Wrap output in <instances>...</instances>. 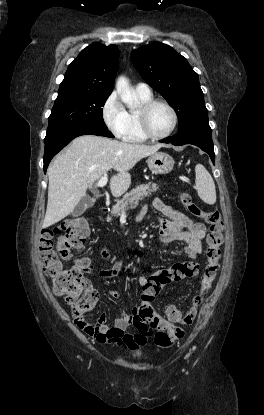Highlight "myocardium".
Here are the masks:
<instances>
[{"instance_id": "myocardium-1", "label": "myocardium", "mask_w": 264, "mask_h": 415, "mask_svg": "<svg viewBox=\"0 0 264 415\" xmlns=\"http://www.w3.org/2000/svg\"><path fill=\"white\" fill-rule=\"evenodd\" d=\"M158 105H163L165 106L172 114L173 117V122L172 125L170 127V129L162 134V135H155L151 132L150 128H149V124H148V115L149 112ZM137 116H138V122H139V130L141 132V134L146 138V139H150V140H163L168 138L177 128L178 125V113L175 110V108L168 103L165 100H161V99H152L148 102L142 103L140 108L137 110Z\"/></svg>"}]
</instances>
